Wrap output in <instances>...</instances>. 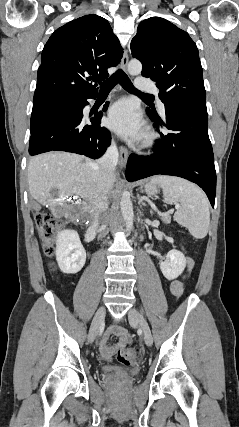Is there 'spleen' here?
Here are the masks:
<instances>
[{"mask_svg": "<svg viewBox=\"0 0 239 427\" xmlns=\"http://www.w3.org/2000/svg\"><path fill=\"white\" fill-rule=\"evenodd\" d=\"M151 183L163 189L164 202L174 203V219L197 239L204 238L210 224L209 202L204 192L195 184L182 178L157 175Z\"/></svg>", "mask_w": 239, "mask_h": 427, "instance_id": "spleen-1", "label": "spleen"}]
</instances>
